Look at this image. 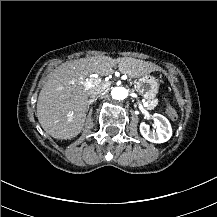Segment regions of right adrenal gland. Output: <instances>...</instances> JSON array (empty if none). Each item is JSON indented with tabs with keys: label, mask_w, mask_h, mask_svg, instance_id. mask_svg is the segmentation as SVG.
Wrapping results in <instances>:
<instances>
[{
	"label": "right adrenal gland",
	"mask_w": 217,
	"mask_h": 217,
	"mask_svg": "<svg viewBox=\"0 0 217 217\" xmlns=\"http://www.w3.org/2000/svg\"><path fill=\"white\" fill-rule=\"evenodd\" d=\"M96 100H97L96 98H92V99L88 100L87 109H89V108H90V105H91L93 102H95Z\"/></svg>",
	"instance_id": "1"
}]
</instances>
